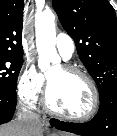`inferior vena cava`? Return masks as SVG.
<instances>
[{"label":"inferior vena cava","mask_w":117,"mask_h":136,"mask_svg":"<svg viewBox=\"0 0 117 136\" xmlns=\"http://www.w3.org/2000/svg\"><path fill=\"white\" fill-rule=\"evenodd\" d=\"M18 121L25 124L26 129L30 132L41 127L39 116L27 109L25 105L18 108L17 113Z\"/></svg>","instance_id":"obj_1"}]
</instances>
